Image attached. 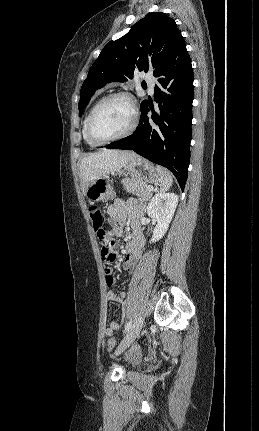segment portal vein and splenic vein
Listing matches in <instances>:
<instances>
[{"label": "portal vein and splenic vein", "mask_w": 259, "mask_h": 431, "mask_svg": "<svg viewBox=\"0 0 259 431\" xmlns=\"http://www.w3.org/2000/svg\"><path fill=\"white\" fill-rule=\"evenodd\" d=\"M148 190L151 192V191H153V187H151V186H149L148 187Z\"/></svg>", "instance_id": "portal-vein-and-splenic-vein-1"}]
</instances>
